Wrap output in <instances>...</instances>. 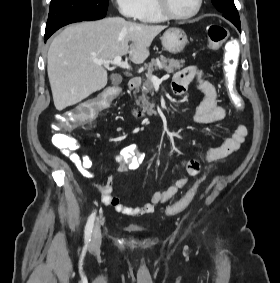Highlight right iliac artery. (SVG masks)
<instances>
[{
    "label": "right iliac artery",
    "instance_id": "82829eb1",
    "mask_svg": "<svg viewBox=\"0 0 280 283\" xmlns=\"http://www.w3.org/2000/svg\"><path fill=\"white\" fill-rule=\"evenodd\" d=\"M94 220H95V213H92L90 217L88 218L86 227H85V241L89 242L92 234V229L94 226Z\"/></svg>",
    "mask_w": 280,
    "mask_h": 283
}]
</instances>
